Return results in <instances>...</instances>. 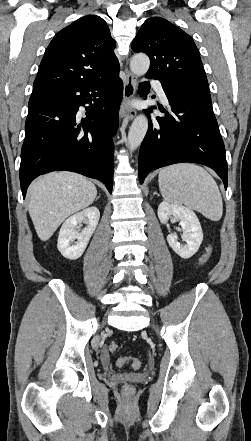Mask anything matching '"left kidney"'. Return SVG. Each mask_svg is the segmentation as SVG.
Listing matches in <instances>:
<instances>
[{"label":"left kidney","instance_id":"left-kidney-1","mask_svg":"<svg viewBox=\"0 0 251 441\" xmlns=\"http://www.w3.org/2000/svg\"><path fill=\"white\" fill-rule=\"evenodd\" d=\"M171 217L180 221L183 231L182 239L186 242V245L183 246L178 242L176 234H169L167 236L169 246L181 258L188 259L198 251L203 240L200 222L190 208L182 205L169 204L167 202L160 203L158 206V218L160 222L165 224Z\"/></svg>","mask_w":251,"mask_h":441}]
</instances>
